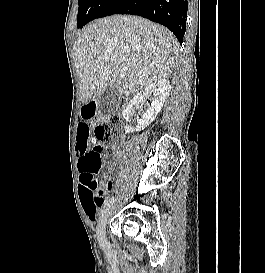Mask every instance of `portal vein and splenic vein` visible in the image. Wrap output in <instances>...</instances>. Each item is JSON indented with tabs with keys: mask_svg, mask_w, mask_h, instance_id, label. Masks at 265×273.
I'll list each match as a JSON object with an SVG mask.
<instances>
[{
	"mask_svg": "<svg viewBox=\"0 0 265 273\" xmlns=\"http://www.w3.org/2000/svg\"><path fill=\"white\" fill-rule=\"evenodd\" d=\"M121 67H122L123 70H125V69L127 68V65H126L125 63H123V64L121 65Z\"/></svg>",
	"mask_w": 265,
	"mask_h": 273,
	"instance_id": "portal-vein-and-splenic-vein-1",
	"label": "portal vein and splenic vein"
}]
</instances>
